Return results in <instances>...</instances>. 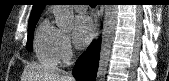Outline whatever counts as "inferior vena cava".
Masks as SVG:
<instances>
[{
	"label": "inferior vena cava",
	"instance_id": "1",
	"mask_svg": "<svg viewBox=\"0 0 169 81\" xmlns=\"http://www.w3.org/2000/svg\"><path fill=\"white\" fill-rule=\"evenodd\" d=\"M68 75H70V76H71V75H72V72H71V71H69V72H68Z\"/></svg>",
	"mask_w": 169,
	"mask_h": 81
}]
</instances>
